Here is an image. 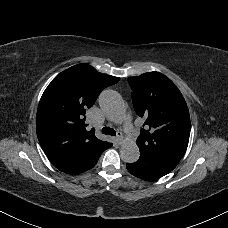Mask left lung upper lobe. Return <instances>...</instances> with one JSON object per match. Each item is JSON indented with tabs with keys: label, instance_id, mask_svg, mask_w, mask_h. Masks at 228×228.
I'll use <instances>...</instances> for the list:
<instances>
[{
	"label": "left lung upper lobe",
	"instance_id": "left-lung-upper-lobe-1",
	"mask_svg": "<svg viewBox=\"0 0 228 228\" xmlns=\"http://www.w3.org/2000/svg\"><path fill=\"white\" fill-rule=\"evenodd\" d=\"M136 113L146 118L137 138L140 152L178 163L189 142L190 116L175 84L159 72L129 77Z\"/></svg>",
	"mask_w": 228,
	"mask_h": 228
}]
</instances>
